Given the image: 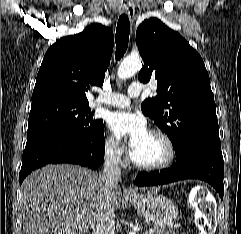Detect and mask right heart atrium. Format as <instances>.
<instances>
[{
	"label": "right heart atrium",
	"mask_w": 241,
	"mask_h": 234,
	"mask_svg": "<svg viewBox=\"0 0 241 234\" xmlns=\"http://www.w3.org/2000/svg\"><path fill=\"white\" fill-rule=\"evenodd\" d=\"M103 151L105 157L113 162H121L125 155L123 145L112 135H107L104 138Z\"/></svg>",
	"instance_id": "d8ad5b80"
}]
</instances>
